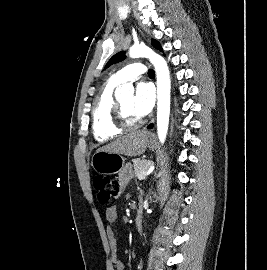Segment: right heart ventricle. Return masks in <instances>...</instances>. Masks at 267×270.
Returning <instances> with one entry per match:
<instances>
[{
  "label": "right heart ventricle",
  "instance_id": "e07e8e85",
  "mask_svg": "<svg viewBox=\"0 0 267 270\" xmlns=\"http://www.w3.org/2000/svg\"><path fill=\"white\" fill-rule=\"evenodd\" d=\"M120 83H117L111 78L97 95L93 114L92 127L95 139L98 142H106L123 133V130L118 128L113 121L114 115V90Z\"/></svg>",
  "mask_w": 267,
  "mask_h": 270
}]
</instances>
